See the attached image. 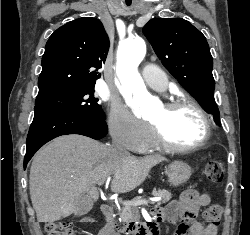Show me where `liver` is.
I'll list each match as a JSON object with an SVG mask.
<instances>
[{
	"mask_svg": "<svg viewBox=\"0 0 250 235\" xmlns=\"http://www.w3.org/2000/svg\"><path fill=\"white\" fill-rule=\"evenodd\" d=\"M165 160L160 155L117 154L111 146L78 134L60 136L38 151L30 168V198L37 221L53 223L71 215L80 197L93 206L99 197L96 185L105 181H110L113 192H130Z\"/></svg>",
	"mask_w": 250,
	"mask_h": 235,
	"instance_id": "obj_1",
	"label": "liver"
}]
</instances>
